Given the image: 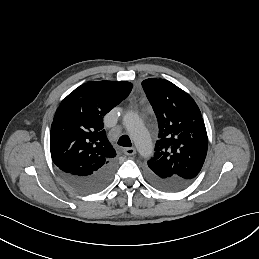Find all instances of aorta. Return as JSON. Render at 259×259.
<instances>
[{"mask_svg":"<svg viewBox=\"0 0 259 259\" xmlns=\"http://www.w3.org/2000/svg\"><path fill=\"white\" fill-rule=\"evenodd\" d=\"M124 125L132 137L139 153L145 157L150 156L153 151L152 142L139 116L133 112L127 113L124 116Z\"/></svg>","mask_w":259,"mask_h":259,"instance_id":"1","label":"aorta"}]
</instances>
